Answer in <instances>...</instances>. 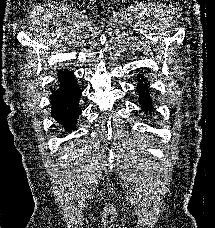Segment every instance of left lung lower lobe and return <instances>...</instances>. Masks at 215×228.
I'll use <instances>...</instances> for the list:
<instances>
[{
  "mask_svg": "<svg viewBox=\"0 0 215 228\" xmlns=\"http://www.w3.org/2000/svg\"><path fill=\"white\" fill-rule=\"evenodd\" d=\"M142 80L145 81L144 78ZM143 81H139V84L137 86V91L140 95L139 101L142 105V109L145 112L149 111L151 113L153 107L151 106V100L149 99V89L147 84H143Z\"/></svg>",
  "mask_w": 215,
  "mask_h": 228,
  "instance_id": "1",
  "label": "left lung lower lobe"
}]
</instances>
